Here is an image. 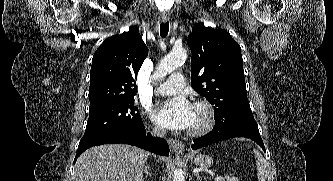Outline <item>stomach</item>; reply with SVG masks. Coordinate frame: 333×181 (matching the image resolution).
Masks as SVG:
<instances>
[{
  "label": "stomach",
  "instance_id": "obj_1",
  "mask_svg": "<svg viewBox=\"0 0 333 181\" xmlns=\"http://www.w3.org/2000/svg\"><path fill=\"white\" fill-rule=\"evenodd\" d=\"M193 162L199 168H209L213 165V159L205 154L194 157Z\"/></svg>",
  "mask_w": 333,
  "mask_h": 181
}]
</instances>
